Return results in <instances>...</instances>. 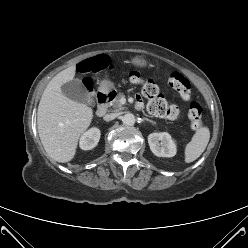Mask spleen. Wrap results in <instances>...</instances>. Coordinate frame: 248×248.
Here are the masks:
<instances>
[{"instance_id":"obj_1","label":"spleen","mask_w":248,"mask_h":248,"mask_svg":"<svg viewBox=\"0 0 248 248\" xmlns=\"http://www.w3.org/2000/svg\"><path fill=\"white\" fill-rule=\"evenodd\" d=\"M210 139L209 128H197L192 140L185 147V162L195 161L204 152Z\"/></svg>"}]
</instances>
